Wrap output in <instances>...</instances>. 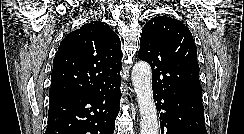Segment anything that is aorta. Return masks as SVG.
Instances as JSON below:
<instances>
[{
	"label": "aorta",
	"mask_w": 244,
	"mask_h": 134,
	"mask_svg": "<svg viewBox=\"0 0 244 134\" xmlns=\"http://www.w3.org/2000/svg\"><path fill=\"white\" fill-rule=\"evenodd\" d=\"M132 83L141 115L140 134H159L157 109L153 100L152 71L148 63L139 61L133 66Z\"/></svg>",
	"instance_id": "obj_1"
}]
</instances>
